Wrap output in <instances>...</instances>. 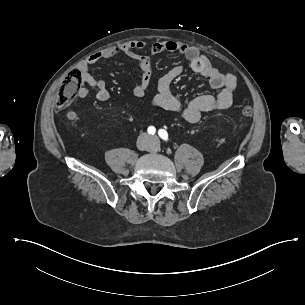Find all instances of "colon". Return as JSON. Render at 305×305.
Returning a JSON list of instances; mask_svg holds the SVG:
<instances>
[{"instance_id":"1","label":"colon","mask_w":305,"mask_h":305,"mask_svg":"<svg viewBox=\"0 0 305 305\" xmlns=\"http://www.w3.org/2000/svg\"><path fill=\"white\" fill-rule=\"evenodd\" d=\"M81 84V74L76 69H69L64 74V82L56 100L58 107L72 108L77 103V93ZM253 110L245 107L241 110L243 117H251Z\"/></svg>"}]
</instances>
